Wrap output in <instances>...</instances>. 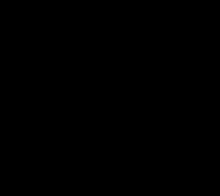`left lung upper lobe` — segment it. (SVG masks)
Instances as JSON below:
<instances>
[{"label":"left lung upper lobe","mask_w":220,"mask_h":196,"mask_svg":"<svg viewBox=\"0 0 220 196\" xmlns=\"http://www.w3.org/2000/svg\"><path fill=\"white\" fill-rule=\"evenodd\" d=\"M159 114L157 129L159 133H168L183 116L186 88L183 77L178 72H167L160 79L158 94Z\"/></svg>","instance_id":"1"}]
</instances>
